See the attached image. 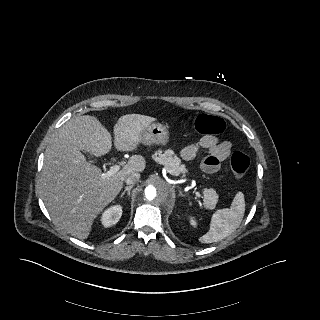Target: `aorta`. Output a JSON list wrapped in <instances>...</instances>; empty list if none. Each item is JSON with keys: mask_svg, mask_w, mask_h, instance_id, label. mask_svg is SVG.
Instances as JSON below:
<instances>
[{"mask_svg": "<svg viewBox=\"0 0 320 320\" xmlns=\"http://www.w3.org/2000/svg\"><path fill=\"white\" fill-rule=\"evenodd\" d=\"M172 197V188L160 178L153 179L145 188L142 200L152 210H162L163 205Z\"/></svg>", "mask_w": 320, "mask_h": 320, "instance_id": "aorta-1", "label": "aorta"}]
</instances>
